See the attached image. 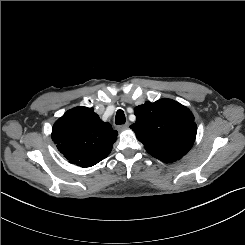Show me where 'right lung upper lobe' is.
Returning a JSON list of instances; mask_svg holds the SVG:
<instances>
[{"label":"right lung upper lobe","mask_w":245,"mask_h":245,"mask_svg":"<svg viewBox=\"0 0 245 245\" xmlns=\"http://www.w3.org/2000/svg\"><path fill=\"white\" fill-rule=\"evenodd\" d=\"M118 132L103 122L93 108L75 107L57 120L52 140L58 150L80 167H91L106 158Z\"/></svg>","instance_id":"obj_1"}]
</instances>
